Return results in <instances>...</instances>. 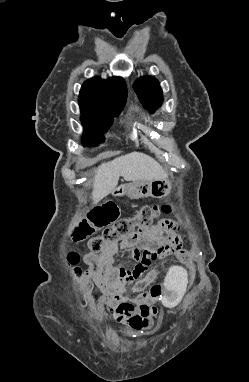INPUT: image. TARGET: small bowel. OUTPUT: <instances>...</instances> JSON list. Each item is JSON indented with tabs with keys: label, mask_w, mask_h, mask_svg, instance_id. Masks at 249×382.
Here are the masks:
<instances>
[{
	"label": "small bowel",
	"mask_w": 249,
	"mask_h": 382,
	"mask_svg": "<svg viewBox=\"0 0 249 382\" xmlns=\"http://www.w3.org/2000/svg\"><path fill=\"white\" fill-rule=\"evenodd\" d=\"M177 228L176 221L164 218L156 225L137 231L133 238L108 244L99 253L84 255V262L88 265L86 275L89 288L99 295L111 320L138 331L153 326L154 302L160 299H154L144 291L151 282L135 279L128 275L127 269L115 267V256L121 250L129 249L131 261L139 262L142 260V251L138 247L157 246L167 253H176L182 244ZM127 291L134 296H126Z\"/></svg>",
	"instance_id": "1"
}]
</instances>
